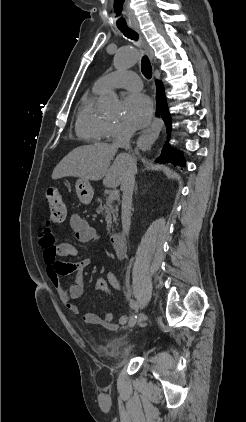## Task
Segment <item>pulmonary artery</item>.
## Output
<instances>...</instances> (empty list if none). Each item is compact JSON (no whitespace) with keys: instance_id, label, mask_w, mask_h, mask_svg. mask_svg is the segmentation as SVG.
Here are the masks:
<instances>
[{"instance_id":"pulmonary-artery-1","label":"pulmonary artery","mask_w":246,"mask_h":422,"mask_svg":"<svg viewBox=\"0 0 246 422\" xmlns=\"http://www.w3.org/2000/svg\"><path fill=\"white\" fill-rule=\"evenodd\" d=\"M142 87L139 76L132 71H118L100 77L94 88L103 92L113 88H126L130 90H140Z\"/></svg>"}]
</instances>
